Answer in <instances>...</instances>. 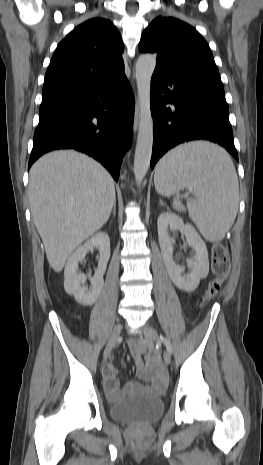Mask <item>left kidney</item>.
Here are the masks:
<instances>
[{
  "mask_svg": "<svg viewBox=\"0 0 263 465\" xmlns=\"http://www.w3.org/2000/svg\"><path fill=\"white\" fill-rule=\"evenodd\" d=\"M157 226L161 253L170 279L178 288L194 291L200 280L206 278L209 273L208 251L204 241L192 225L185 224L182 218L174 213L160 214ZM174 230L184 234L187 244L195 251L194 257L187 260L190 272L186 274L185 267L178 265L173 258V241L169 231Z\"/></svg>",
  "mask_w": 263,
  "mask_h": 465,
  "instance_id": "left-kidney-1",
  "label": "left kidney"
}]
</instances>
